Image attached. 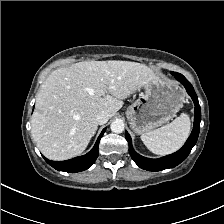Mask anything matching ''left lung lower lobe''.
<instances>
[{
	"mask_svg": "<svg viewBox=\"0 0 224 224\" xmlns=\"http://www.w3.org/2000/svg\"><path fill=\"white\" fill-rule=\"evenodd\" d=\"M174 76L178 81H180L184 85L188 94L191 96L195 104V118L192 133L186 141L185 145L179 151L159 159H149L142 157L134 151L132 147L131 137L128 132L125 131V138L129 144V153L134 162L142 169H146L149 171H160L168 168H173L186 159V157L191 152V149L197 142L201 121V109L197 95L194 91L193 86L183 75L177 73Z\"/></svg>",
	"mask_w": 224,
	"mask_h": 224,
	"instance_id": "obj_1",
	"label": "left lung lower lobe"
}]
</instances>
